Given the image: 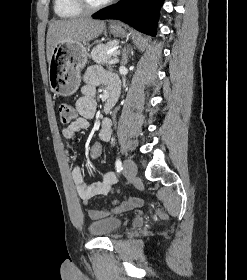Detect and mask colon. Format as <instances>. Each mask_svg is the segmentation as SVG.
Instances as JSON below:
<instances>
[{"mask_svg":"<svg viewBox=\"0 0 247 280\" xmlns=\"http://www.w3.org/2000/svg\"><path fill=\"white\" fill-rule=\"evenodd\" d=\"M59 117L62 123L68 124L76 118L75 109L68 103H61L58 108ZM105 142L103 139H95L90 147V156L98 158L104 149Z\"/></svg>","mask_w":247,"mask_h":280,"instance_id":"5ec220e1","label":"colon"}]
</instances>
